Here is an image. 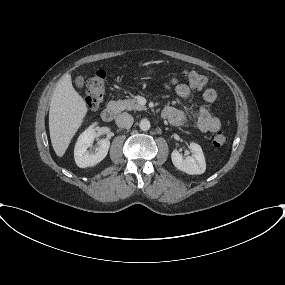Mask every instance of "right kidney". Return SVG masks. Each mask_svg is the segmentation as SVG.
<instances>
[{
  "mask_svg": "<svg viewBox=\"0 0 285 285\" xmlns=\"http://www.w3.org/2000/svg\"><path fill=\"white\" fill-rule=\"evenodd\" d=\"M94 125L87 128L78 138L74 149V158L78 167H92L101 162L107 155L110 141L108 139L100 140V144L95 152H89L87 149L92 146L96 137Z\"/></svg>",
  "mask_w": 285,
  "mask_h": 285,
  "instance_id": "obj_1",
  "label": "right kidney"
}]
</instances>
